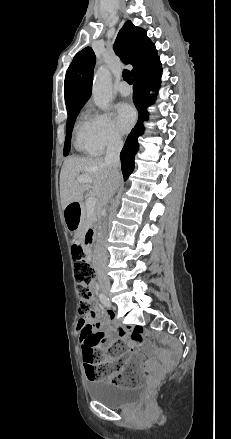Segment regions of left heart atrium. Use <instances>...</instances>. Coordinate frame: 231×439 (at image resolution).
Masks as SVG:
<instances>
[{
    "instance_id": "1",
    "label": "left heart atrium",
    "mask_w": 231,
    "mask_h": 439,
    "mask_svg": "<svg viewBox=\"0 0 231 439\" xmlns=\"http://www.w3.org/2000/svg\"><path fill=\"white\" fill-rule=\"evenodd\" d=\"M116 122L124 132L128 131L135 122L136 113L128 103H119L115 108Z\"/></svg>"
}]
</instances>
